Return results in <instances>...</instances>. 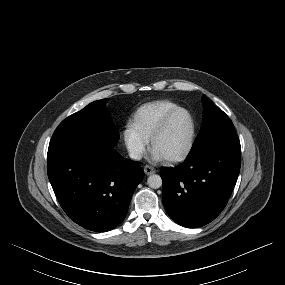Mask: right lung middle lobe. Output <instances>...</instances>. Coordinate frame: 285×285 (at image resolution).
Segmentation results:
<instances>
[{
    "label": "right lung middle lobe",
    "mask_w": 285,
    "mask_h": 285,
    "mask_svg": "<svg viewBox=\"0 0 285 285\" xmlns=\"http://www.w3.org/2000/svg\"><path fill=\"white\" fill-rule=\"evenodd\" d=\"M107 101H94L63 120L56 128L50 145L69 140H92L111 147L116 145L119 134L105 109Z\"/></svg>",
    "instance_id": "right-lung-middle-lobe-1"
}]
</instances>
